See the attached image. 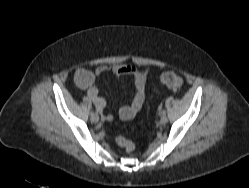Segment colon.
Listing matches in <instances>:
<instances>
[{
  "instance_id": "colon-1",
  "label": "colon",
  "mask_w": 249,
  "mask_h": 188,
  "mask_svg": "<svg viewBox=\"0 0 249 188\" xmlns=\"http://www.w3.org/2000/svg\"><path fill=\"white\" fill-rule=\"evenodd\" d=\"M161 82L165 86H167L173 90L179 89L182 85L181 77L173 71L164 72L161 75ZM114 141L116 144L123 147L127 152H132L134 150V144L127 138L118 136L114 139Z\"/></svg>"
}]
</instances>
